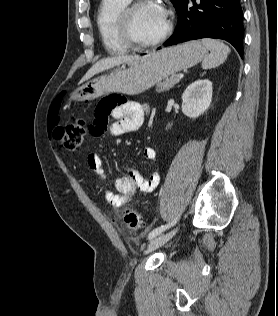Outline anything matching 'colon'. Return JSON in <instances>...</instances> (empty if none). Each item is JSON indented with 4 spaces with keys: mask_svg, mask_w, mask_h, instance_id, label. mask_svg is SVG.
I'll return each mask as SVG.
<instances>
[{
    "mask_svg": "<svg viewBox=\"0 0 278 316\" xmlns=\"http://www.w3.org/2000/svg\"><path fill=\"white\" fill-rule=\"evenodd\" d=\"M85 134V120L81 117L73 116L65 127L57 128L53 132V137L61 143L65 150L75 151L82 145ZM123 221L130 230H139L143 227V218L134 209L129 208L124 212Z\"/></svg>",
    "mask_w": 278,
    "mask_h": 316,
    "instance_id": "5ec220e1",
    "label": "colon"
}]
</instances>
